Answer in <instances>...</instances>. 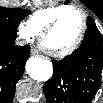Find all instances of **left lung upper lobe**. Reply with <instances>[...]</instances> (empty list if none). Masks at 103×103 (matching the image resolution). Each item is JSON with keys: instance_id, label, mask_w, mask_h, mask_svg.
<instances>
[{"instance_id": "left-lung-upper-lobe-1", "label": "left lung upper lobe", "mask_w": 103, "mask_h": 103, "mask_svg": "<svg viewBox=\"0 0 103 103\" xmlns=\"http://www.w3.org/2000/svg\"><path fill=\"white\" fill-rule=\"evenodd\" d=\"M87 26H96L94 20L91 17H88L87 19Z\"/></svg>"}]
</instances>
